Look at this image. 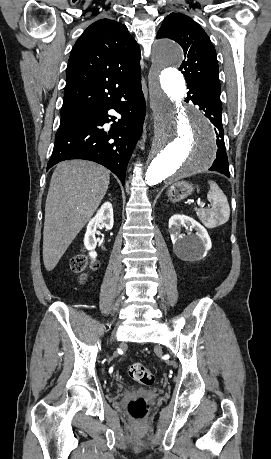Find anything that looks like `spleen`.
I'll list each match as a JSON object with an SVG mask.
<instances>
[{
    "instance_id": "1",
    "label": "spleen",
    "mask_w": 271,
    "mask_h": 459,
    "mask_svg": "<svg viewBox=\"0 0 271 459\" xmlns=\"http://www.w3.org/2000/svg\"><path fill=\"white\" fill-rule=\"evenodd\" d=\"M210 190L207 194L212 208L210 210H197L196 214L201 218L206 228H217L226 224L230 218V208L225 194L218 188L215 182H208Z\"/></svg>"
}]
</instances>
